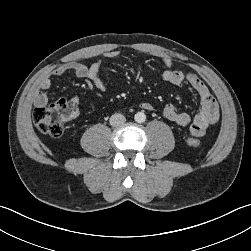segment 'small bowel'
Instances as JSON below:
<instances>
[{
  "instance_id": "small-bowel-1",
  "label": "small bowel",
  "mask_w": 251,
  "mask_h": 251,
  "mask_svg": "<svg viewBox=\"0 0 251 251\" xmlns=\"http://www.w3.org/2000/svg\"><path fill=\"white\" fill-rule=\"evenodd\" d=\"M118 55V51L112 50L106 52L104 57L107 59H114L117 58ZM162 62L166 68L162 75L164 81L174 85H181L184 82L189 83L198 94L200 105L199 112L193 118L187 113L179 111L175 105L171 103L166 104L160 109L162 115L167 120L179 126H189L194 136H203L219 119V107L216 100L205 83L194 73L173 69L174 62L168 57L163 58ZM101 66L102 61L100 59L95 60L90 65L79 62H68L56 68L53 71V75L62 76L72 71L78 78L89 80L97 90L105 92L107 90V85L100 76ZM51 84V79L49 77H44L39 83V88L41 90H47L51 87ZM70 102L78 107L79 99L74 96L70 99ZM35 103L37 105L46 104V94L44 92H38L35 97ZM141 106L146 110H156V107L149 102H143Z\"/></svg>"
}]
</instances>
